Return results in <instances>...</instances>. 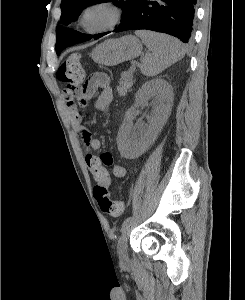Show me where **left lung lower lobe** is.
I'll return each mask as SVG.
<instances>
[{
    "label": "left lung lower lobe",
    "mask_w": 245,
    "mask_h": 300,
    "mask_svg": "<svg viewBox=\"0 0 245 300\" xmlns=\"http://www.w3.org/2000/svg\"><path fill=\"white\" fill-rule=\"evenodd\" d=\"M196 0H134L132 12L113 32L147 29L167 33L189 43ZM103 33L94 39H98Z\"/></svg>",
    "instance_id": "obj_1"
}]
</instances>
